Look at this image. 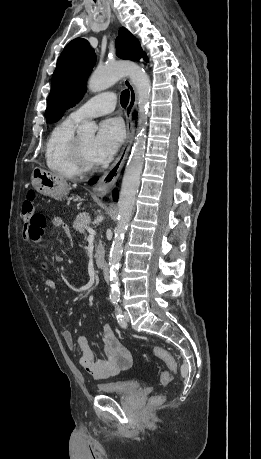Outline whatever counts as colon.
Wrapping results in <instances>:
<instances>
[{
  "instance_id": "colon-1",
  "label": "colon",
  "mask_w": 261,
  "mask_h": 459,
  "mask_svg": "<svg viewBox=\"0 0 261 459\" xmlns=\"http://www.w3.org/2000/svg\"><path fill=\"white\" fill-rule=\"evenodd\" d=\"M33 199V193H29L22 208L25 223L21 227V232L22 234H26L28 237H31L33 234L43 233L47 224L46 217L43 214L34 212ZM154 354L157 358L165 362L170 369L162 371L159 375V383L166 386L172 380L171 371H175L177 369V362L173 355L164 348L155 347ZM151 401L155 403L158 401V398H152Z\"/></svg>"
}]
</instances>
